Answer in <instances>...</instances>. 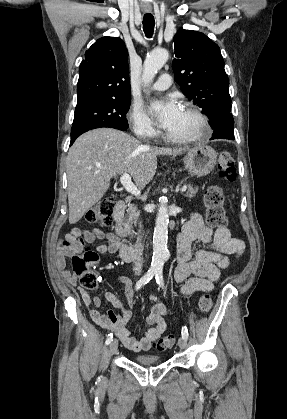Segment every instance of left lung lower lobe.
<instances>
[{
  "label": "left lung lower lobe",
  "mask_w": 287,
  "mask_h": 419,
  "mask_svg": "<svg viewBox=\"0 0 287 419\" xmlns=\"http://www.w3.org/2000/svg\"><path fill=\"white\" fill-rule=\"evenodd\" d=\"M214 139H229L235 140L234 137V121L231 113L224 115L221 122L214 128L211 140Z\"/></svg>",
  "instance_id": "obj_1"
}]
</instances>
